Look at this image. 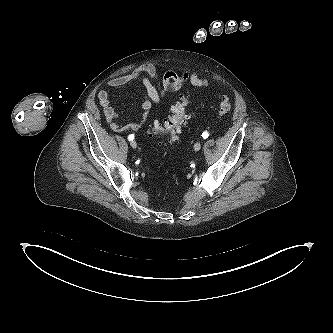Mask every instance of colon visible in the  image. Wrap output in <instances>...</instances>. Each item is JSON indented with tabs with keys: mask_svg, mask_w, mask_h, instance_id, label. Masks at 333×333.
Returning a JSON list of instances; mask_svg holds the SVG:
<instances>
[{
	"mask_svg": "<svg viewBox=\"0 0 333 333\" xmlns=\"http://www.w3.org/2000/svg\"><path fill=\"white\" fill-rule=\"evenodd\" d=\"M190 102V97L185 95L181 98L180 102L174 105L171 109L170 116L165 121H154L150 128L149 133L152 136L164 135L166 138L173 142L177 140L179 134L184 130L190 115L187 108ZM231 110V103L226 96H221L219 99V112L226 115Z\"/></svg>",
	"mask_w": 333,
	"mask_h": 333,
	"instance_id": "1",
	"label": "colon"
}]
</instances>
